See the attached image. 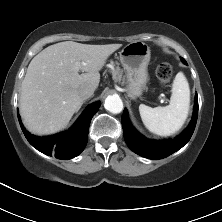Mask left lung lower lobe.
<instances>
[{"instance_id":"0a47b994","label":"left lung lower lobe","mask_w":222,"mask_h":222,"mask_svg":"<svg viewBox=\"0 0 222 222\" xmlns=\"http://www.w3.org/2000/svg\"><path fill=\"white\" fill-rule=\"evenodd\" d=\"M198 117V97L195 96L193 117L188 127L176 138L167 140H149L138 133L130 124L127 110L122 115L124 139L135 153L149 159H162L182 148L191 138Z\"/></svg>"}]
</instances>
